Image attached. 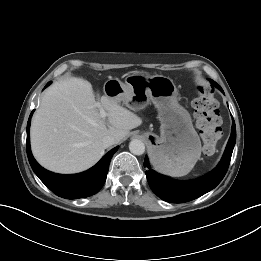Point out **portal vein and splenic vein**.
Listing matches in <instances>:
<instances>
[{
    "instance_id": "portal-vein-and-splenic-vein-1",
    "label": "portal vein and splenic vein",
    "mask_w": 261,
    "mask_h": 261,
    "mask_svg": "<svg viewBox=\"0 0 261 261\" xmlns=\"http://www.w3.org/2000/svg\"><path fill=\"white\" fill-rule=\"evenodd\" d=\"M96 107L99 109L101 118L105 119L107 117V112L104 110V108L101 105V103L97 102L96 103Z\"/></svg>"
}]
</instances>
